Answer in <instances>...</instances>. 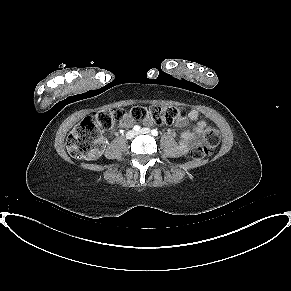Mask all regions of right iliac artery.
<instances>
[{"label": "right iliac artery", "instance_id": "obj_1", "mask_svg": "<svg viewBox=\"0 0 291 291\" xmlns=\"http://www.w3.org/2000/svg\"><path fill=\"white\" fill-rule=\"evenodd\" d=\"M133 130H135V131H139V130H140V126H139V125H135V126L133 127Z\"/></svg>", "mask_w": 291, "mask_h": 291}]
</instances>
